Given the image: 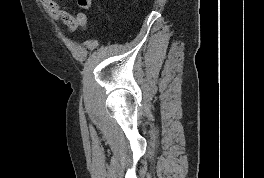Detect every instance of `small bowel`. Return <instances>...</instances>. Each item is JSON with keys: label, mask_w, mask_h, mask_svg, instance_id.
Returning <instances> with one entry per match:
<instances>
[{"label": "small bowel", "mask_w": 264, "mask_h": 178, "mask_svg": "<svg viewBox=\"0 0 264 178\" xmlns=\"http://www.w3.org/2000/svg\"><path fill=\"white\" fill-rule=\"evenodd\" d=\"M43 6L46 8L49 16L56 21L64 23L69 31L74 32L79 27H84L87 24V15L83 12H79L76 15H72L68 11L62 8L58 0H40Z\"/></svg>", "instance_id": "1"}]
</instances>
